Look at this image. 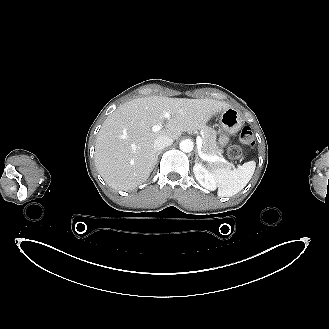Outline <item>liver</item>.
Listing matches in <instances>:
<instances>
[{
    "mask_svg": "<svg viewBox=\"0 0 329 329\" xmlns=\"http://www.w3.org/2000/svg\"><path fill=\"white\" fill-rule=\"evenodd\" d=\"M213 99L151 96L120 105L97 135L95 165L104 181L116 190H133L150 176L156 151L154 141L166 135L176 140L182 132L202 129L217 112L229 108ZM171 117L165 123L164 113ZM166 124L158 132L152 126Z\"/></svg>",
    "mask_w": 329,
    "mask_h": 329,
    "instance_id": "liver-1",
    "label": "liver"
}]
</instances>
